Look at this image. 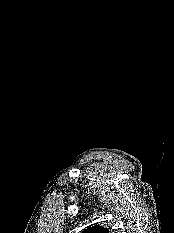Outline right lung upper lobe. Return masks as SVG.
I'll list each match as a JSON object with an SVG mask.
<instances>
[{"label": "right lung upper lobe", "instance_id": "1", "mask_svg": "<svg viewBox=\"0 0 174 233\" xmlns=\"http://www.w3.org/2000/svg\"><path fill=\"white\" fill-rule=\"evenodd\" d=\"M82 233H109V230L99 226H92L82 231Z\"/></svg>", "mask_w": 174, "mask_h": 233}]
</instances>
